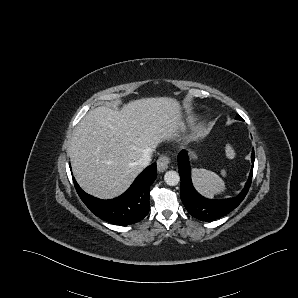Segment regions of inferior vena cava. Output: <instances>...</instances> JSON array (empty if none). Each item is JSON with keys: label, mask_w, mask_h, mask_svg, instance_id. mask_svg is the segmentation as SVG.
Instances as JSON below:
<instances>
[{"label": "inferior vena cava", "mask_w": 298, "mask_h": 298, "mask_svg": "<svg viewBox=\"0 0 298 298\" xmlns=\"http://www.w3.org/2000/svg\"><path fill=\"white\" fill-rule=\"evenodd\" d=\"M152 154H153V150H147L143 154L142 158L139 159L138 165L141 166L142 168L148 167L150 165V162H151Z\"/></svg>", "instance_id": "obj_1"}]
</instances>
